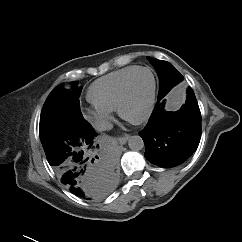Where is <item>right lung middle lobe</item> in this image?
Here are the masks:
<instances>
[{"label":"right lung middle lobe","instance_id":"right-lung-middle-lobe-1","mask_svg":"<svg viewBox=\"0 0 242 242\" xmlns=\"http://www.w3.org/2000/svg\"><path fill=\"white\" fill-rule=\"evenodd\" d=\"M71 85V90L58 85L45 101L39 125V135L44 150L57 140L65 139L73 133L87 131L92 127L80 111L79 96L82 87H78V82H72Z\"/></svg>","mask_w":242,"mask_h":242}]
</instances>
